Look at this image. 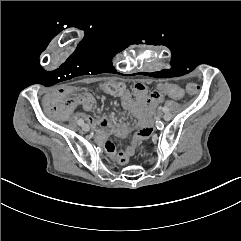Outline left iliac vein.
Returning <instances> with one entry per match:
<instances>
[{"instance_id":"left-iliac-vein-1","label":"left iliac vein","mask_w":241,"mask_h":241,"mask_svg":"<svg viewBox=\"0 0 241 241\" xmlns=\"http://www.w3.org/2000/svg\"><path fill=\"white\" fill-rule=\"evenodd\" d=\"M171 120V114L170 113H166L164 116H163V121L165 122H168Z\"/></svg>"}]
</instances>
